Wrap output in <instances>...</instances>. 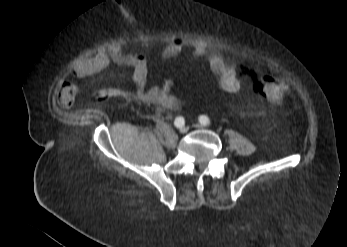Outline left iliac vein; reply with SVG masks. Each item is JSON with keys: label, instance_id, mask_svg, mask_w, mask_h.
<instances>
[{"label": "left iliac vein", "instance_id": "4c4485c4", "mask_svg": "<svg viewBox=\"0 0 347 247\" xmlns=\"http://www.w3.org/2000/svg\"><path fill=\"white\" fill-rule=\"evenodd\" d=\"M197 128H203V125L202 124H196L195 125Z\"/></svg>", "mask_w": 347, "mask_h": 247}]
</instances>
